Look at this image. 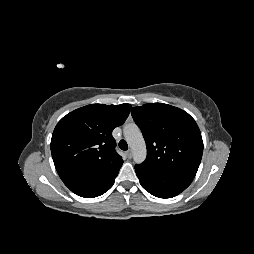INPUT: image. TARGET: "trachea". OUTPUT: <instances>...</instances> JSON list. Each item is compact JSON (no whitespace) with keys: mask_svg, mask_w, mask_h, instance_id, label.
Returning <instances> with one entry per match:
<instances>
[{"mask_svg":"<svg viewBox=\"0 0 254 254\" xmlns=\"http://www.w3.org/2000/svg\"><path fill=\"white\" fill-rule=\"evenodd\" d=\"M119 147H120L121 150H127L128 149V144L124 139H122L119 142Z\"/></svg>","mask_w":254,"mask_h":254,"instance_id":"3493384b","label":"trachea"}]
</instances>
